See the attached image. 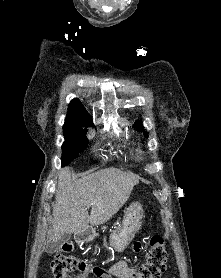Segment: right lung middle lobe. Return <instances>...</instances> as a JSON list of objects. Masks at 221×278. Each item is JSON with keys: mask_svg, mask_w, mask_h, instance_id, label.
Listing matches in <instances>:
<instances>
[{"mask_svg": "<svg viewBox=\"0 0 221 278\" xmlns=\"http://www.w3.org/2000/svg\"><path fill=\"white\" fill-rule=\"evenodd\" d=\"M94 126L76 121H65L63 133L65 142L62 145V165H67L78 157L88 145L87 129L83 127Z\"/></svg>", "mask_w": 221, "mask_h": 278, "instance_id": "obj_1", "label": "right lung middle lobe"}]
</instances>
